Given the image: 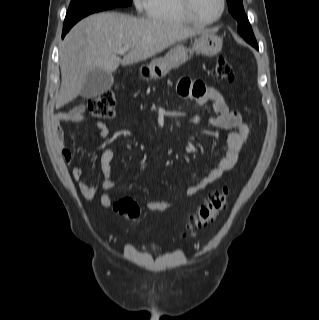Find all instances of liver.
Listing matches in <instances>:
<instances>
[{"instance_id": "6515ba94", "label": "liver", "mask_w": 319, "mask_h": 320, "mask_svg": "<svg viewBox=\"0 0 319 320\" xmlns=\"http://www.w3.org/2000/svg\"><path fill=\"white\" fill-rule=\"evenodd\" d=\"M204 31L166 20L138 19L115 12L84 18L69 31L59 47L62 81L56 108L81 93L86 75L93 70L112 73L120 64L127 66L144 61ZM123 46H130L131 50L120 59L117 51Z\"/></svg>"}]
</instances>
